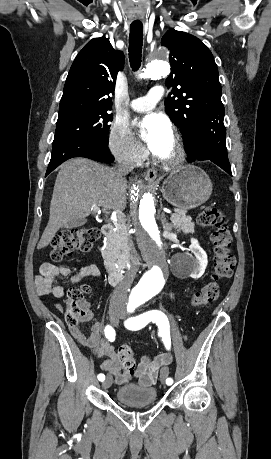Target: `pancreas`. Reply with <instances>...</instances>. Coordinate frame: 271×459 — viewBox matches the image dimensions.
I'll use <instances>...</instances> for the list:
<instances>
[{"instance_id": "obj_1", "label": "pancreas", "mask_w": 271, "mask_h": 459, "mask_svg": "<svg viewBox=\"0 0 271 459\" xmlns=\"http://www.w3.org/2000/svg\"><path fill=\"white\" fill-rule=\"evenodd\" d=\"M175 212L179 215L178 217H172L173 226L178 228L177 231H184V233H193L195 231V224L192 222V218L190 216H185V210H175ZM119 224L118 229L115 233H111L110 237H108L106 241L105 249H102V255L104 259L108 257V255H115L121 256L125 253V250L121 248V245H126L128 235V226H126L125 218H118Z\"/></svg>"}]
</instances>
